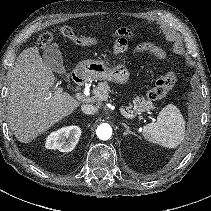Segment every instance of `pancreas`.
I'll use <instances>...</instances> for the list:
<instances>
[{"label": "pancreas", "instance_id": "obj_1", "mask_svg": "<svg viewBox=\"0 0 211 211\" xmlns=\"http://www.w3.org/2000/svg\"><path fill=\"white\" fill-rule=\"evenodd\" d=\"M109 93H112V91L106 82H99L93 90L94 97L97 100H107L110 97ZM126 109L131 113L136 112L139 114L154 109V106L151 101L146 100L144 97L136 96L133 98V104L129 103Z\"/></svg>", "mask_w": 211, "mask_h": 211}]
</instances>
